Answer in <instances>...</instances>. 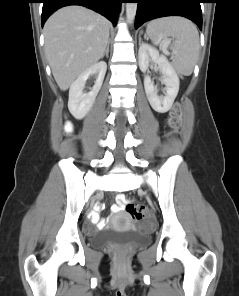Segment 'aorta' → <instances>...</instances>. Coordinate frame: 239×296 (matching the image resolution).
I'll list each match as a JSON object with an SVG mask.
<instances>
[{"instance_id": "762f6f07", "label": "aorta", "mask_w": 239, "mask_h": 296, "mask_svg": "<svg viewBox=\"0 0 239 296\" xmlns=\"http://www.w3.org/2000/svg\"><path fill=\"white\" fill-rule=\"evenodd\" d=\"M137 11V3H126V19L128 23H133Z\"/></svg>"}]
</instances>
